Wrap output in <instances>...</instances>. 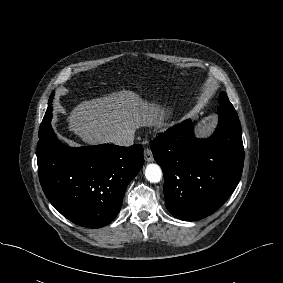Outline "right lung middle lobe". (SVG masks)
Wrapping results in <instances>:
<instances>
[{
  "mask_svg": "<svg viewBox=\"0 0 283 283\" xmlns=\"http://www.w3.org/2000/svg\"><path fill=\"white\" fill-rule=\"evenodd\" d=\"M54 97V92L51 94L50 99L48 101V108L47 111L44 115L43 121L40 125V129H39V137H41L42 135H44V132L47 129V126L50 124L51 122V118H52V99Z\"/></svg>",
  "mask_w": 283,
  "mask_h": 283,
  "instance_id": "dd1d6c3e",
  "label": "right lung middle lobe"
}]
</instances>
